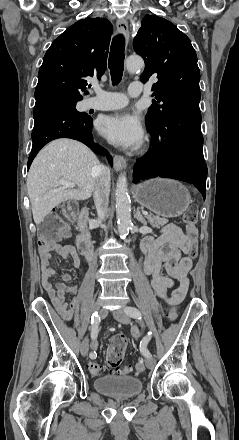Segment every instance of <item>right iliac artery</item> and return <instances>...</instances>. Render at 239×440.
Here are the masks:
<instances>
[{"label":"right iliac artery","instance_id":"right-iliac-artery-1","mask_svg":"<svg viewBox=\"0 0 239 440\" xmlns=\"http://www.w3.org/2000/svg\"><path fill=\"white\" fill-rule=\"evenodd\" d=\"M100 320H101V318H100L99 314L97 312L93 313L92 318H91V338L93 340H95L97 338L98 325L100 323ZM89 356L91 359H95L97 357V353L95 351L91 352Z\"/></svg>","mask_w":239,"mask_h":440}]
</instances>
